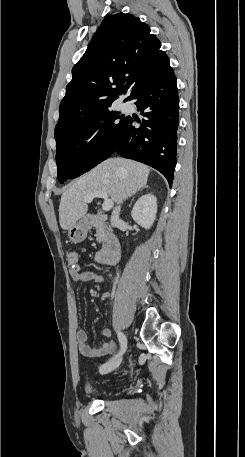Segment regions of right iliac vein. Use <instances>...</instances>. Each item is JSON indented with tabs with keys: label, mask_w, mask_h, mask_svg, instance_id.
<instances>
[{
	"label": "right iliac vein",
	"mask_w": 245,
	"mask_h": 457,
	"mask_svg": "<svg viewBox=\"0 0 245 457\" xmlns=\"http://www.w3.org/2000/svg\"><path fill=\"white\" fill-rule=\"evenodd\" d=\"M122 361V358H116V359H112L104 364H102L100 367H99V371L101 374H107L113 370H115L116 368H118V366L120 365Z\"/></svg>",
	"instance_id": "63e3f726"
}]
</instances>
